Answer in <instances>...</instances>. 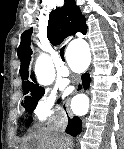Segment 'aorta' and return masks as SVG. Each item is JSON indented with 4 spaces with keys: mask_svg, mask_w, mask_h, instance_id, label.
Here are the masks:
<instances>
[{
    "mask_svg": "<svg viewBox=\"0 0 124 149\" xmlns=\"http://www.w3.org/2000/svg\"><path fill=\"white\" fill-rule=\"evenodd\" d=\"M77 44L78 46L76 48V53L79 56H83L85 59H89L90 52L87 43L85 41H78ZM37 78L39 83L42 85H49L53 81V69L45 58H41V60L38 63Z\"/></svg>",
    "mask_w": 124,
    "mask_h": 149,
    "instance_id": "obj_1",
    "label": "aorta"
}]
</instances>
